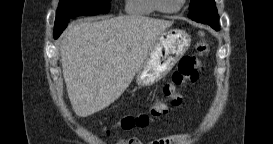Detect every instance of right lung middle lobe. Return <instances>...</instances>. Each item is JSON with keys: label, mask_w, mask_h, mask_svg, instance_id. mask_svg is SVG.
<instances>
[{"label": "right lung middle lobe", "mask_w": 273, "mask_h": 144, "mask_svg": "<svg viewBox=\"0 0 273 144\" xmlns=\"http://www.w3.org/2000/svg\"><path fill=\"white\" fill-rule=\"evenodd\" d=\"M111 0H60L54 25V38L66 28L70 18L108 13Z\"/></svg>", "instance_id": "1"}]
</instances>
